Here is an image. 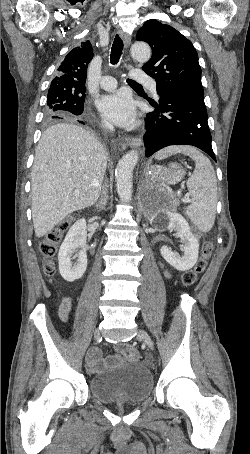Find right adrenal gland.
I'll list each match as a JSON object with an SVG mask.
<instances>
[{
    "label": "right adrenal gland",
    "instance_id": "2a0ac1e0",
    "mask_svg": "<svg viewBox=\"0 0 250 454\" xmlns=\"http://www.w3.org/2000/svg\"><path fill=\"white\" fill-rule=\"evenodd\" d=\"M108 186L105 183L102 188L101 197L96 203V207L101 211L106 209L107 201H108Z\"/></svg>",
    "mask_w": 250,
    "mask_h": 454
}]
</instances>
